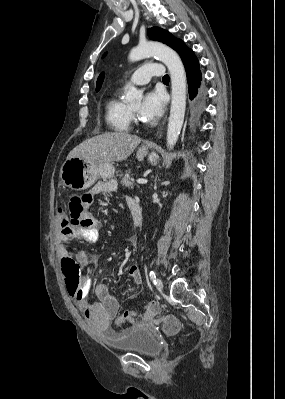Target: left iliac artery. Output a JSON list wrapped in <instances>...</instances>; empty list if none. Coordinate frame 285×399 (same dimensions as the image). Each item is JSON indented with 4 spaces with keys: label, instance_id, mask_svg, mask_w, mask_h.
I'll list each match as a JSON object with an SVG mask.
<instances>
[{
    "label": "left iliac artery",
    "instance_id": "44dca946",
    "mask_svg": "<svg viewBox=\"0 0 285 399\" xmlns=\"http://www.w3.org/2000/svg\"><path fill=\"white\" fill-rule=\"evenodd\" d=\"M149 276H150V279L154 282V284H156V281H157L156 274L153 270L150 271Z\"/></svg>",
    "mask_w": 285,
    "mask_h": 399
}]
</instances>
